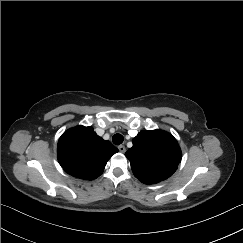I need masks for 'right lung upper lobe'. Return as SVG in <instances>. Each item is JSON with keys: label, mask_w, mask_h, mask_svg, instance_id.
<instances>
[{"label": "right lung upper lobe", "mask_w": 243, "mask_h": 243, "mask_svg": "<svg viewBox=\"0 0 243 243\" xmlns=\"http://www.w3.org/2000/svg\"><path fill=\"white\" fill-rule=\"evenodd\" d=\"M118 152L92 127L76 126L65 131L58 141V161L71 176L93 180L99 177L107 161Z\"/></svg>", "instance_id": "cb5924a9"}]
</instances>
